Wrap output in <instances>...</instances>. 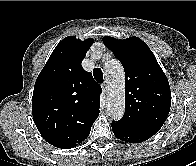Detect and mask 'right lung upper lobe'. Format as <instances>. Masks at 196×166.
I'll return each mask as SVG.
<instances>
[{
	"label": "right lung upper lobe",
	"instance_id": "1",
	"mask_svg": "<svg viewBox=\"0 0 196 166\" xmlns=\"http://www.w3.org/2000/svg\"><path fill=\"white\" fill-rule=\"evenodd\" d=\"M93 39L64 38L39 74L32 113L42 137L55 147H75L90 134L100 111L101 86L81 63Z\"/></svg>",
	"mask_w": 196,
	"mask_h": 166
}]
</instances>
